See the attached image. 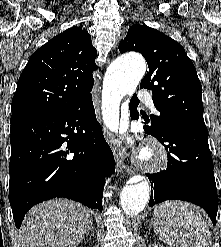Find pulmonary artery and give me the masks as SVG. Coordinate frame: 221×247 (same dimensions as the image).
Listing matches in <instances>:
<instances>
[{
    "label": "pulmonary artery",
    "mask_w": 221,
    "mask_h": 247,
    "mask_svg": "<svg viewBox=\"0 0 221 247\" xmlns=\"http://www.w3.org/2000/svg\"><path fill=\"white\" fill-rule=\"evenodd\" d=\"M138 97H139V99L142 102L148 103V104L152 105V97H151V94L148 93L147 91H144V90L140 91L138 93Z\"/></svg>",
    "instance_id": "pulmonary-artery-1"
}]
</instances>
